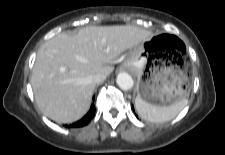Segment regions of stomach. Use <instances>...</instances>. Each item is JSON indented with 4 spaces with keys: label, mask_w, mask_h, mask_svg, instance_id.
<instances>
[{
    "label": "stomach",
    "mask_w": 225,
    "mask_h": 155,
    "mask_svg": "<svg viewBox=\"0 0 225 155\" xmlns=\"http://www.w3.org/2000/svg\"><path fill=\"white\" fill-rule=\"evenodd\" d=\"M161 36L154 35L135 47L123 66L137 75V96L156 106H167L188 96L190 77L184 63H172L160 50Z\"/></svg>",
    "instance_id": "obj_1"
}]
</instances>
